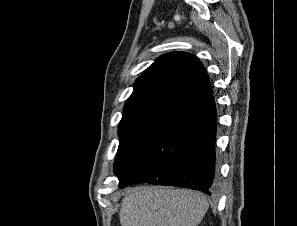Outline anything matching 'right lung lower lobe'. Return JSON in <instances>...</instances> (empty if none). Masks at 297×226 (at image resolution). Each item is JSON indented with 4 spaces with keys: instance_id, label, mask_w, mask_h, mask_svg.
<instances>
[{
    "instance_id": "1",
    "label": "right lung lower lobe",
    "mask_w": 297,
    "mask_h": 226,
    "mask_svg": "<svg viewBox=\"0 0 297 226\" xmlns=\"http://www.w3.org/2000/svg\"><path fill=\"white\" fill-rule=\"evenodd\" d=\"M217 115L213 96L169 118L119 187L152 183L212 193Z\"/></svg>"
}]
</instances>
